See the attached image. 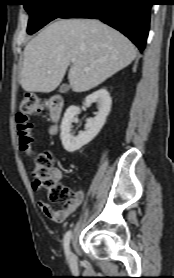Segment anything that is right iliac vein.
<instances>
[{
	"instance_id": "obj_1",
	"label": "right iliac vein",
	"mask_w": 174,
	"mask_h": 278,
	"mask_svg": "<svg viewBox=\"0 0 174 278\" xmlns=\"http://www.w3.org/2000/svg\"><path fill=\"white\" fill-rule=\"evenodd\" d=\"M69 262L71 267H75L77 265V260L73 253H70Z\"/></svg>"
}]
</instances>
